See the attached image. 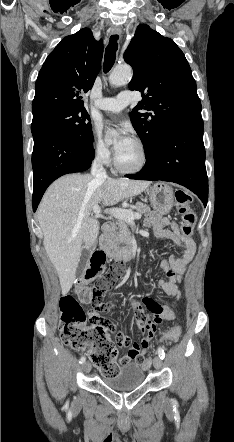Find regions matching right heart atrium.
Listing matches in <instances>:
<instances>
[{
	"mask_svg": "<svg viewBox=\"0 0 234 442\" xmlns=\"http://www.w3.org/2000/svg\"><path fill=\"white\" fill-rule=\"evenodd\" d=\"M91 149L93 157L98 163L102 165H109L111 163L112 154L110 148L96 133L92 137Z\"/></svg>",
	"mask_w": 234,
	"mask_h": 442,
	"instance_id": "d8ad5b80",
	"label": "right heart atrium"
}]
</instances>
